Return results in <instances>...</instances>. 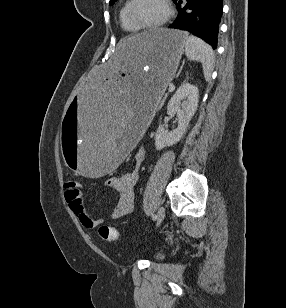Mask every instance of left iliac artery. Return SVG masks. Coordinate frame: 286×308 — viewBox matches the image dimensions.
<instances>
[{
  "label": "left iliac artery",
  "mask_w": 286,
  "mask_h": 308,
  "mask_svg": "<svg viewBox=\"0 0 286 308\" xmlns=\"http://www.w3.org/2000/svg\"><path fill=\"white\" fill-rule=\"evenodd\" d=\"M156 218H157V216L154 215V214H152V219H153V220H156Z\"/></svg>",
  "instance_id": "1"
}]
</instances>
